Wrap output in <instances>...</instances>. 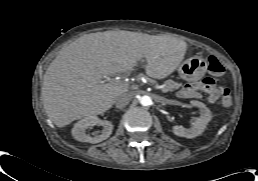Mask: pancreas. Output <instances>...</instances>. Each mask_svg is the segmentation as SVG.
I'll return each mask as SVG.
<instances>
[{"mask_svg": "<svg viewBox=\"0 0 258 181\" xmlns=\"http://www.w3.org/2000/svg\"><path fill=\"white\" fill-rule=\"evenodd\" d=\"M181 87V84L177 83V82H174V81H168L167 82V86H166V89L168 91H174V90H177Z\"/></svg>", "mask_w": 258, "mask_h": 181, "instance_id": "1", "label": "pancreas"}]
</instances>
